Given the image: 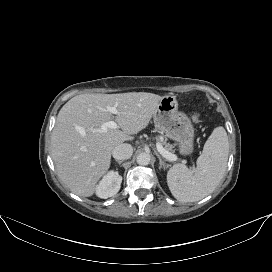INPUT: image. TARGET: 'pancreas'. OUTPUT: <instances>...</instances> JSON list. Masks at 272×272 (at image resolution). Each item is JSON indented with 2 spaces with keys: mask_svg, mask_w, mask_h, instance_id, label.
Instances as JSON below:
<instances>
[{
  "mask_svg": "<svg viewBox=\"0 0 272 272\" xmlns=\"http://www.w3.org/2000/svg\"><path fill=\"white\" fill-rule=\"evenodd\" d=\"M161 144L164 146V149H166L169 152H174V146L167 142V138H160Z\"/></svg>",
  "mask_w": 272,
  "mask_h": 272,
  "instance_id": "1",
  "label": "pancreas"
}]
</instances>
